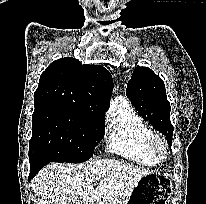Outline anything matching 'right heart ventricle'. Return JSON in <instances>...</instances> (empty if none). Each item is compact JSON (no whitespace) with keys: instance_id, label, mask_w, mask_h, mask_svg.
Returning a JSON list of instances; mask_svg holds the SVG:
<instances>
[{"instance_id":"right-heart-ventricle-1","label":"right heart ventricle","mask_w":206,"mask_h":204,"mask_svg":"<svg viewBox=\"0 0 206 204\" xmlns=\"http://www.w3.org/2000/svg\"><path fill=\"white\" fill-rule=\"evenodd\" d=\"M108 130L109 152L139 165L158 163L148 148L154 134L127 101L120 102L111 114Z\"/></svg>"}]
</instances>
